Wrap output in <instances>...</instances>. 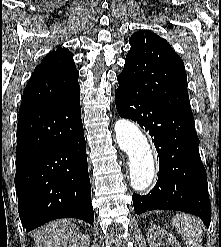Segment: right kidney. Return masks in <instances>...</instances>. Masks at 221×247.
I'll return each mask as SVG.
<instances>
[{"instance_id":"ca27d5eb","label":"right kidney","mask_w":221,"mask_h":247,"mask_svg":"<svg viewBox=\"0 0 221 247\" xmlns=\"http://www.w3.org/2000/svg\"><path fill=\"white\" fill-rule=\"evenodd\" d=\"M90 239L88 234H78L63 247H89Z\"/></svg>"}]
</instances>
